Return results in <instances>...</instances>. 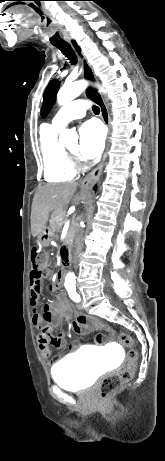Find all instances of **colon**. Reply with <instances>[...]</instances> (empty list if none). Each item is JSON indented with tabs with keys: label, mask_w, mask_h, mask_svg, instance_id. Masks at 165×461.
Wrapping results in <instances>:
<instances>
[{
	"label": "colon",
	"mask_w": 165,
	"mask_h": 461,
	"mask_svg": "<svg viewBox=\"0 0 165 461\" xmlns=\"http://www.w3.org/2000/svg\"><path fill=\"white\" fill-rule=\"evenodd\" d=\"M48 265L47 255L41 249L32 251V270L30 279L38 285ZM119 340L122 345L128 347V363L117 372L105 376L99 386V396L102 400L110 398L120 390L124 384L131 380L138 361V351L134 347L132 337L127 333H121Z\"/></svg>",
	"instance_id": "1"
}]
</instances>
